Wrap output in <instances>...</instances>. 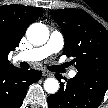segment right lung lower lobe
Returning <instances> with one entry per match:
<instances>
[{
  "instance_id": "1",
  "label": "right lung lower lobe",
  "mask_w": 108,
  "mask_h": 108,
  "mask_svg": "<svg viewBox=\"0 0 108 108\" xmlns=\"http://www.w3.org/2000/svg\"><path fill=\"white\" fill-rule=\"evenodd\" d=\"M41 71L9 68L0 70V108H19L29 85L37 82Z\"/></svg>"
}]
</instances>
